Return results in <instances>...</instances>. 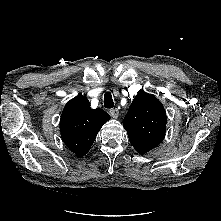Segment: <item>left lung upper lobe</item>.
<instances>
[{"label":"left lung upper lobe","mask_w":221,"mask_h":221,"mask_svg":"<svg viewBox=\"0 0 221 221\" xmlns=\"http://www.w3.org/2000/svg\"><path fill=\"white\" fill-rule=\"evenodd\" d=\"M166 121L161 102L155 96L142 92L130 105L123 120V127L136 151L145 154L163 140Z\"/></svg>","instance_id":"1"}]
</instances>
